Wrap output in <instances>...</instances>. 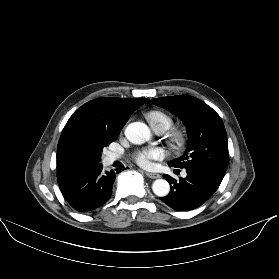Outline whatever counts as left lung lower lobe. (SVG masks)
Returning <instances> with one entry per match:
<instances>
[{
	"instance_id": "0a47b994",
	"label": "left lung lower lobe",
	"mask_w": 279,
	"mask_h": 279,
	"mask_svg": "<svg viewBox=\"0 0 279 279\" xmlns=\"http://www.w3.org/2000/svg\"><path fill=\"white\" fill-rule=\"evenodd\" d=\"M186 178L179 181L169 175L163 177L170 183V193L160 199L178 211L193 210L204 204L218 189L223 178L200 167H187Z\"/></svg>"
}]
</instances>
